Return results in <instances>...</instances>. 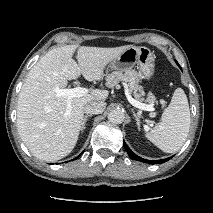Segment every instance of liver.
Wrapping results in <instances>:
<instances>
[{
    "mask_svg": "<svg viewBox=\"0 0 213 213\" xmlns=\"http://www.w3.org/2000/svg\"><path fill=\"white\" fill-rule=\"evenodd\" d=\"M132 45L114 48L66 45L50 50L29 71L18 97L19 135L36 158L52 162L64 158L75 147L84 118V106L105 101L107 90L94 89L71 100L57 97L54 88L63 89L68 80L80 74L88 81L102 80L105 67ZM77 49L78 64L73 59Z\"/></svg>",
    "mask_w": 213,
    "mask_h": 213,
    "instance_id": "6515ba94",
    "label": "liver"
}]
</instances>
